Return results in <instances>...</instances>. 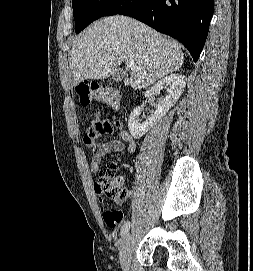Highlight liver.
Instances as JSON below:
<instances>
[{"label": "liver", "mask_w": 253, "mask_h": 271, "mask_svg": "<svg viewBox=\"0 0 253 271\" xmlns=\"http://www.w3.org/2000/svg\"><path fill=\"white\" fill-rule=\"evenodd\" d=\"M133 61L124 85L146 88L180 69L184 57L180 45L151 27L126 16L99 19L73 43L68 86L86 79H105L114 75L123 61Z\"/></svg>", "instance_id": "obj_1"}]
</instances>
